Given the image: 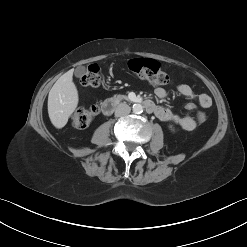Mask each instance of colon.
<instances>
[{
	"mask_svg": "<svg viewBox=\"0 0 247 247\" xmlns=\"http://www.w3.org/2000/svg\"><path fill=\"white\" fill-rule=\"evenodd\" d=\"M130 72L139 79H144L156 86H166L171 83L170 76L162 69L160 63L151 58H135L128 62ZM81 83L87 87H97L101 83L100 68L96 64L88 66L86 72L81 77ZM187 110H195L196 105L192 102L185 104ZM98 108L90 106L78 108L72 117L74 127L82 129L87 127L96 114Z\"/></svg>",
	"mask_w": 247,
	"mask_h": 247,
	"instance_id": "5ec220e1",
	"label": "colon"
}]
</instances>
